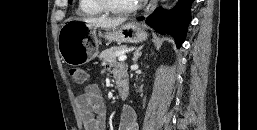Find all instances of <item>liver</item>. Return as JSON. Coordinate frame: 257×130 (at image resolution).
I'll list each match as a JSON object with an SVG mask.
<instances>
[{"mask_svg": "<svg viewBox=\"0 0 257 130\" xmlns=\"http://www.w3.org/2000/svg\"><path fill=\"white\" fill-rule=\"evenodd\" d=\"M80 20L87 23L90 27L113 29L121 25L122 23H124L127 19L126 18L111 19L106 17H100V18H84Z\"/></svg>", "mask_w": 257, "mask_h": 130, "instance_id": "liver-1", "label": "liver"}]
</instances>
